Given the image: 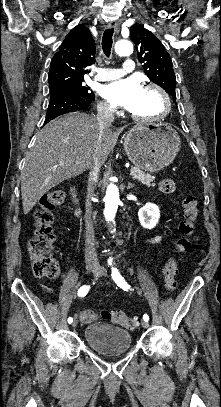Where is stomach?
I'll use <instances>...</instances> for the list:
<instances>
[{
  "mask_svg": "<svg viewBox=\"0 0 221 407\" xmlns=\"http://www.w3.org/2000/svg\"><path fill=\"white\" fill-rule=\"evenodd\" d=\"M180 145L177 131L164 123L135 125L124 138V149L129 160L148 172H157L170 165Z\"/></svg>",
  "mask_w": 221,
  "mask_h": 407,
  "instance_id": "stomach-1",
  "label": "stomach"
}]
</instances>
